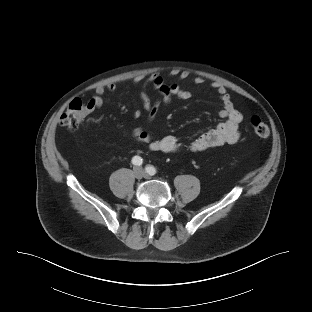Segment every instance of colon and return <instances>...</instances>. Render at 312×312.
<instances>
[{
	"label": "colon",
	"mask_w": 312,
	"mask_h": 312,
	"mask_svg": "<svg viewBox=\"0 0 312 312\" xmlns=\"http://www.w3.org/2000/svg\"><path fill=\"white\" fill-rule=\"evenodd\" d=\"M88 106L81 100H72L65 112L60 117V124L70 130L77 129L88 114ZM250 125L256 136L267 138L270 134L269 127L265 121L258 116L250 119Z\"/></svg>",
	"instance_id": "obj_1"
}]
</instances>
